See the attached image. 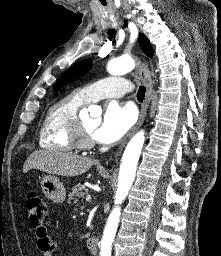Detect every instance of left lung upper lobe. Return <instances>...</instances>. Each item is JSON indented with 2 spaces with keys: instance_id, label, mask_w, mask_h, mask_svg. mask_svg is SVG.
Returning <instances> with one entry per match:
<instances>
[{
  "instance_id": "5c2ea615",
  "label": "left lung upper lobe",
  "mask_w": 221,
  "mask_h": 256,
  "mask_svg": "<svg viewBox=\"0 0 221 256\" xmlns=\"http://www.w3.org/2000/svg\"><path fill=\"white\" fill-rule=\"evenodd\" d=\"M139 43L140 46L143 50V52L147 56H152L153 55V49L152 46L149 42V40L142 34L139 35ZM92 60L86 59L81 62H78L77 64L73 65L71 68L66 70L61 77L59 78L58 82L56 83L54 90H58L61 87L67 85L68 83L76 80L79 78L81 75H84L87 73L91 67H92Z\"/></svg>"
}]
</instances>
